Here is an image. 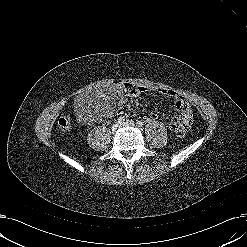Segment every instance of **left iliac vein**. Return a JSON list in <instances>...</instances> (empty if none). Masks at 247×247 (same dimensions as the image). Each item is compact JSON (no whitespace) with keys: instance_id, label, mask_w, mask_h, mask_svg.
Here are the masks:
<instances>
[{"instance_id":"obj_1","label":"left iliac vein","mask_w":247,"mask_h":247,"mask_svg":"<svg viewBox=\"0 0 247 247\" xmlns=\"http://www.w3.org/2000/svg\"><path fill=\"white\" fill-rule=\"evenodd\" d=\"M123 126H134V122H132V121L124 122Z\"/></svg>"}]
</instances>
